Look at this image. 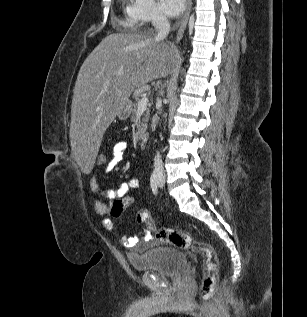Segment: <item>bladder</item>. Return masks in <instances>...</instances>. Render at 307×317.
<instances>
[{
  "label": "bladder",
  "instance_id": "1",
  "mask_svg": "<svg viewBox=\"0 0 307 317\" xmlns=\"http://www.w3.org/2000/svg\"><path fill=\"white\" fill-rule=\"evenodd\" d=\"M135 271H151L162 275H180L186 267L185 255L174 248L155 247L141 256L128 255Z\"/></svg>",
  "mask_w": 307,
  "mask_h": 317
}]
</instances>
